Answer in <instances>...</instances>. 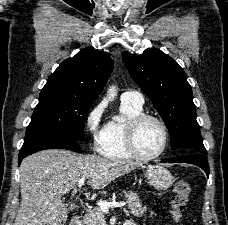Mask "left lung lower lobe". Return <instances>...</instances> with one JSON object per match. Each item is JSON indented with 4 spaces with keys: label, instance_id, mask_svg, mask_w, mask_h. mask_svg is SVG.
<instances>
[{
    "label": "left lung lower lobe",
    "instance_id": "obj_1",
    "mask_svg": "<svg viewBox=\"0 0 228 225\" xmlns=\"http://www.w3.org/2000/svg\"><path fill=\"white\" fill-rule=\"evenodd\" d=\"M163 162L194 164L202 168L207 174V176H209V165L204 155H192L188 157L173 158L169 160H164Z\"/></svg>",
    "mask_w": 228,
    "mask_h": 225
}]
</instances>
